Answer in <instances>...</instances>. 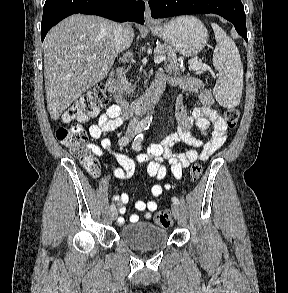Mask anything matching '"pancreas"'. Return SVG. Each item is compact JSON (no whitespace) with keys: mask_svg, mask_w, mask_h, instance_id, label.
Masks as SVG:
<instances>
[{"mask_svg":"<svg viewBox=\"0 0 288 293\" xmlns=\"http://www.w3.org/2000/svg\"><path fill=\"white\" fill-rule=\"evenodd\" d=\"M157 55H163L166 57L164 68L166 69L167 72L174 75H180V73L185 70V68L180 63H178L175 53L169 46L161 45ZM194 63L196 62L190 61L189 65H193ZM197 63H200V62H197ZM123 73L124 72L122 70L119 71L118 73V79H119L118 87L120 91L131 93L134 91L133 86L130 83H128V81L126 80L124 76H122Z\"/></svg>","mask_w":288,"mask_h":293,"instance_id":"cf45deb5","label":"pancreas"}]
</instances>
